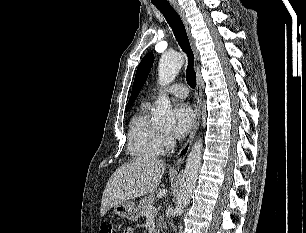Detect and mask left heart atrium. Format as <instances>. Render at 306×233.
Here are the masks:
<instances>
[{"mask_svg": "<svg viewBox=\"0 0 306 233\" xmlns=\"http://www.w3.org/2000/svg\"><path fill=\"white\" fill-rule=\"evenodd\" d=\"M195 114L186 103L178 104L174 109L173 134L177 138H183L193 127Z\"/></svg>", "mask_w": 306, "mask_h": 233, "instance_id": "left-heart-atrium-1", "label": "left heart atrium"}]
</instances>
